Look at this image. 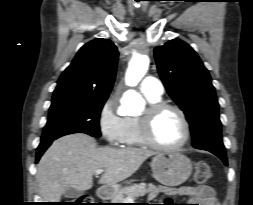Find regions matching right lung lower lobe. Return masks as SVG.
<instances>
[{
	"mask_svg": "<svg viewBox=\"0 0 253 205\" xmlns=\"http://www.w3.org/2000/svg\"><path fill=\"white\" fill-rule=\"evenodd\" d=\"M57 139V138H56ZM55 139L45 140L41 141L37 148V154H36V163L39 161L40 157L43 155V153L46 151V149L51 145V143Z\"/></svg>",
	"mask_w": 253,
	"mask_h": 205,
	"instance_id": "right-lung-lower-lobe-1",
	"label": "right lung lower lobe"
}]
</instances>
